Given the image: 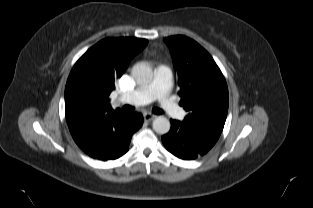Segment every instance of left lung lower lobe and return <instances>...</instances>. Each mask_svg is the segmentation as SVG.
Segmentation results:
<instances>
[{
  "label": "left lung lower lobe",
  "instance_id": "obj_1",
  "mask_svg": "<svg viewBox=\"0 0 313 208\" xmlns=\"http://www.w3.org/2000/svg\"><path fill=\"white\" fill-rule=\"evenodd\" d=\"M170 131L162 136V142L169 152L191 160L206 154L217 142L220 132L199 129L184 121L170 120Z\"/></svg>",
  "mask_w": 313,
  "mask_h": 208
}]
</instances>
